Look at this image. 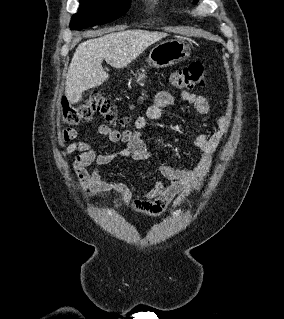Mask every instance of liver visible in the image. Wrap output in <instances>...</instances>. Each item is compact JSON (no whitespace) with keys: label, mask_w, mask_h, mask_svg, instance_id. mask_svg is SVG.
<instances>
[{"label":"liver","mask_w":284,"mask_h":319,"mask_svg":"<svg viewBox=\"0 0 284 319\" xmlns=\"http://www.w3.org/2000/svg\"><path fill=\"white\" fill-rule=\"evenodd\" d=\"M168 36L164 32L125 30L89 39L78 45L70 63L65 84L69 103H77L84 91L101 85L109 77L102 62L114 68L127 67L143 51Z\"/></svg>","instance_id":"liver-1"}]
</instances>
